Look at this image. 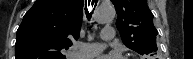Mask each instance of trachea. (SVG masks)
I'll return each instance as SVG.
<instances>
[{"mask_svg":"<svg viewBox=\"0 0 193 59\" xmlns=\"http://www.w3.org/2000/svg\"><path fill=\"white\" fill-rule=\"evenodd\" d=\"M88 5L90 6V0H88ZM95 6H96V5H95ZM85 12H86L87 18L89 19V18L91 17V15H92V12L89 13V11H88L87 8L85 9Z\"/></svg>","mask_w":193,"mask_h":59,"instance_id":"3493384b","label":"trachea"}]
</instances>
